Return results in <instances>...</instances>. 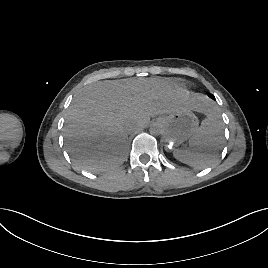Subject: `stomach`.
Instances as JSON below:
<instances>
[{
    "label": "stomach",
    "instance_id": "1",
    "mask_svg": "<svg viewBox=\"0 0 268 268\" xmlns=\"http://www.w3.org/2000/svg\"><path fill=\"white\" fill-rule=\"evenodd\" d=\"M168 142L180 144L190 139L198 128V118L190 109H181L157 119Z\"/></svg>",
    "mask_w": 268,
    "mask_h": 268
}]
</instances>
